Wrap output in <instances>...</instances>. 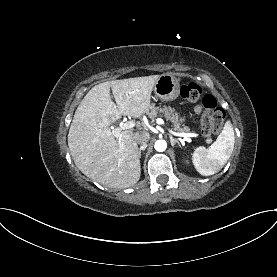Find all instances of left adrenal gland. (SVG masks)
<instances>
[{"mask_svg": "<svg viewBox=\"0 0 277 277\" xmlns=\"http://www.w3.org/2000/svg\"><path fill=\"white\" fill-rule=\"evenodd\" d=\"M169 137H170L172 147H174V145L177 144L180 148H182L177 139L173 138V136H171V135Z\"/></svg>", "mask_w": 277, "mask_h": 277, "instance_id": "1", "label": "left adrenal gland"}]
</instances>
